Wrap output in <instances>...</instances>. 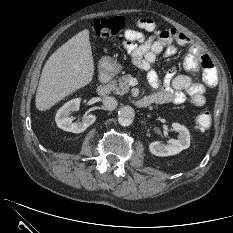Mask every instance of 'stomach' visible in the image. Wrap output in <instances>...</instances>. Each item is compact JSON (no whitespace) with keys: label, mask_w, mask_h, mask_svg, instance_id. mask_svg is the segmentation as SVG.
Segmentation results:
<instances>
[{"label":"stomach","mask_w":233,"mask_h":233,"mask_svg":"<svg viewBox=\"0 0 233 233\" xmlns=\"http://www.w3.org/2000/svg\"><path fill=\"white\" fill-rule=\"evenodd\" d=\"M110 67L114 72H117L120 69V66L116 62H112Z\"/></svg>","instance_id":"stomach-1"}]
</instances>
